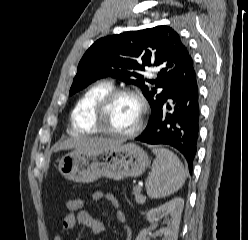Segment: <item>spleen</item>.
<instances>
[{
	"instance_id": "3e777b00",
	"label": "spleen",
	"mask_w": 248,
	"mask_h": 240,
	"mask_svg": "<svg viewBox=\"0 0 248 240\" xmlns=\"http://www.w3.org/2000/svg\"><path fill=\"white\" fill-rule=\"evenodd\" d=\"M152 152L156 159L153 161L145 186L150 198L159 199L178 191L185 183L186 174L181 161L170 150L154 147Z\"/></svg>"
}]
</instances>
